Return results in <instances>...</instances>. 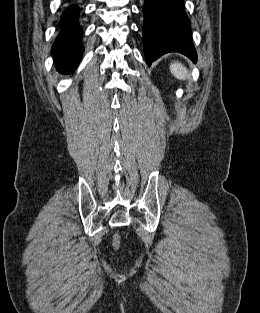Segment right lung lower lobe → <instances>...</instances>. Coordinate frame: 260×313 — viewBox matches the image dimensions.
Segmentation results:
<instances>
[{"label":"right lung lower lobe","instance_id":"right-lung-lower-lobe-1","mask_svg":"<svg viewBox=\"0 0 260 313\" xmlns=\"http://www.w3.org/2000/svg\"><path fill=\"white\" fill-rule=\"evenodd\" d=\"M79 17L80 8L76 3L69 5L60 17V32L52 48L60 72L73 71L81 60L84 49Z\"/></svg>","mask_w":260,"mask_h":313}]
</instances>
